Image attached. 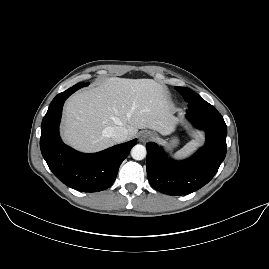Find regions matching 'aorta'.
I'll use <instances>...</instances> for the list:
<instances>
[{
  "label": "aorta",
  "mask_w": 269,
  "mask_h": 269,
  "mask_svg": "<svg viewBox=\"0 0 269 269\" xmlns=\"http://www.w3.org/2000/svg\"><path fill=\"white\" fill-rule=\"evenodd\" d=\"M131 156L135 160H143L146 157V149L142 145H136L131 150Z\"/></svg>",
  "instance_id": "762f6f07"
}]
</instances>
